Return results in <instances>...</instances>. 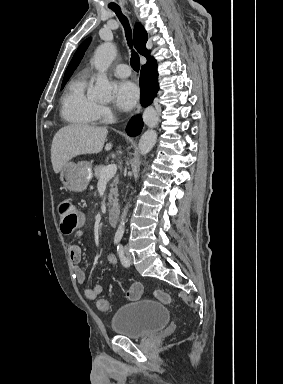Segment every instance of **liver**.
<instances>
[{
  "mask_svg": "<svg viewBox=\"0 0 283 384\" xmlns=\"http://www.w3.org/2000/svg\"><path fill=\"white\" fill-rule=\"evenodd\" d=\"M107 128H96L87 124H69L55 134L51 148V162L55 174L63 170L65 164L81 154H99L104 148ZM106 152L112 144H106Z\"/></svg>",
  "mask_w": 283,
  "mask_h": 384,
  "instance_id": "obj_1",
  "label": "liver"
}]
</instances>
